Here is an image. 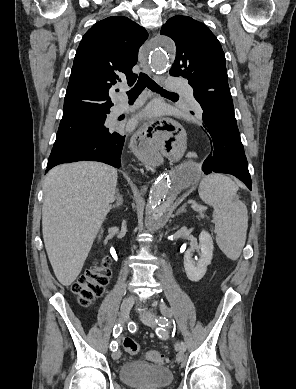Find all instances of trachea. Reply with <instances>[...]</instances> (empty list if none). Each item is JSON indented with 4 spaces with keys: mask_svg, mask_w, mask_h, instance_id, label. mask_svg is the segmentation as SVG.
<instances>
[{
    "mask_svg": "<svg viewBox=\"0 0 296 389\" xmlns=\"http://www.w3.org/2000/svg\"><path fill=\"white\" fill-rule=\"evenodd\" d=\"M150 89L153 92L164 94V95H176L173 92H168L160 87L154 80H152L147 74L140 73L139 78L135 86L127 92L129 100L136 99L139 94L145 89Z\"/></svg>",
    "mask_w": 296,
    "mask_h": 389,
    "instance_id": "3493384b",
    "label": "trachea"
}]
</instances>
